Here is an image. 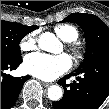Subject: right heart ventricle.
I'll list each match as a JSON object with an SVG mask.
<instances>
[{"instance_id": "e07e8e85", "label": "right heart ventricle", "mask_w": 109, "mask_h": 109, "mask_svg": "<svg viewBox=\"0 0 109 109\" xmlns=\"http://www.w3.org/2000/svg\"><path fill=\"white\" fill-rule=\"evenodd\" d=\"M54 32L59 38L68 43L74 42L79 36L77 28L70 24L56 25Z\"/></svg>"}]
</instances>
